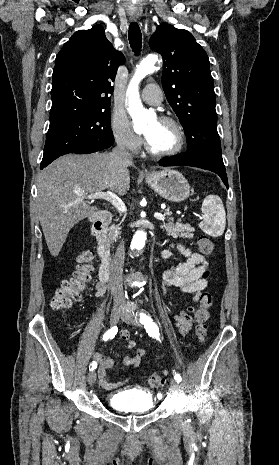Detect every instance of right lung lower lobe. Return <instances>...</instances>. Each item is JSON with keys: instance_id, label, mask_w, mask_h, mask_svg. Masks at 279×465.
Instances as JSON below:
<instances>
[{"instance_id": "obj_1", "label": "right lung lower lobe", "mask_w": 279, "mask_h": 465, "mask_svg": "<svg viewBox=\"0 0 279 465\" xmlns=\"http://www.w3.org/2000/svg\"><path fill=\"white\" fill-rule=\"evenodd\" d=\"M106 148H108V147L107 146H102V145H99V146L98 145H95V146L94 145H87V146H83V147H81L79 149H76V150L68 152V153L88 154V153H93V152L100 151V150H103V149H106ZM68 153H66V154H68ZM50 163L41 164L40 169H43L44 167H46Z\"/></svg>"}]
</instances>
